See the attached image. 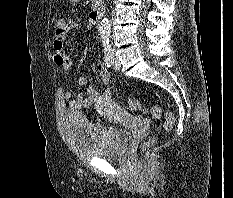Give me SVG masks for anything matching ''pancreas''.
<instances>
[{
  "label": "pancreas",
  "mask_w": 233,
  "mask_h": 198,
  "mask_svg": "<svg viewBox=\"0 0 233 198\" xmlns=\"http://www.w3.org/2000/svg\"><path fill=\"white\" fill-rule=\"evenodd\" d=\"M102 2H103V0H91V7H92V8H96V7H98Z\"/></svg>",
  "instance_id": "1"
}]
</instances>
